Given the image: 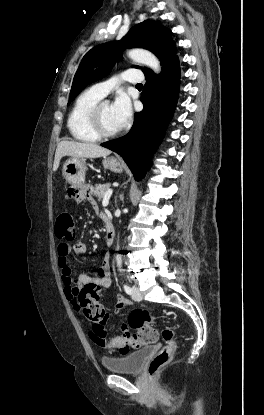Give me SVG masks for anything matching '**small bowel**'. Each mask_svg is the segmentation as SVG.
<instances>
[{"mask_svg":"<svg viewBox=\"0 0 264 415\" xmlns=\"http://www.w3.org/2000/svg\"><path fill=\"white\" fill-rule=\"evenodd\" d=\"M100 219L105 223V218L109 216L106 211L102 210L99 213ZM74 250L77 254L83 255L87 252L88 246L85 242H77L74 246ZM71 247L67 245H61L58 248V265L62 269V281L64 284V294L66 299L72 304L76 312L81 313L82 309L79 305V293L83 285L87 283H94L98 292L109 288L112 285V273H111V257L108 253L103 256L102 264L99 267L95 275H89L80 273L74 281L70 275V262L69 254ZM131 304L130 300L126 297H119L112 305V312H119L120 310L128 307ZM127 330V324L122 323L119 327L120 332ZM89 336L100 346L107 345L110 348H117L121 354L127 355L128 351H122L120 346H113L112 344H106L103 340L95 335L94 332L88 331Z\"/></svg>","mask_w":264,"mask_h":415,"instance_id":"small-bowel-1","label":"small bowel"}]
</instances>
